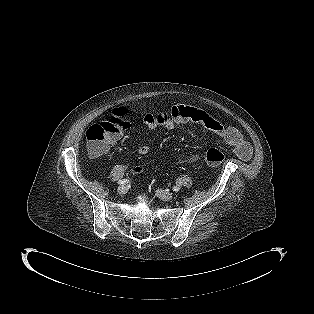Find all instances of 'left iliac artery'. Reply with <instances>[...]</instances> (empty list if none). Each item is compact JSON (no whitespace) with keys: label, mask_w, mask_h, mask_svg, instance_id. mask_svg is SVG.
<instances>
[{"label":"left iliac artery","mask_w":314,"mask_h":314,"mask_svg":"<svg viewBox=\"0 0 314 314\" xmlns=\"http://www.w3.org/2000/svg\"><path fill=\"white\" fill-rule=\"evenodd\" d=\"M179 190H180L179 187H177V186H174V187H173V191L178 192Z\"/></svg>","instance_id":"44dca946"}]
</instances>
